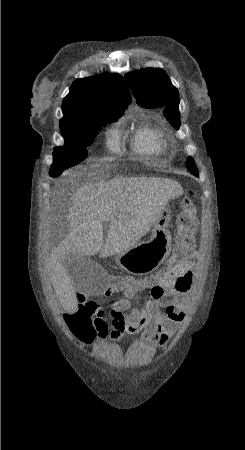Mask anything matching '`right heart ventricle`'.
Returning <instances> with one entry per match:
<instances>
[{"instance_id":"obj_1","label":"right heart ventricle","mask_w":245,"mask_h":450,"mask_svg":"<svg viewBox=\"0 0 245 450\" xmlns=\"http://www.w3.org/2000/svg\"><path fill=\"white\" fill-rule=\"evenodd\" d=\"M132 147L135 152L140 154L159 153L164 147L162 135L151 127H142L136 132Z\"/></svg>"}]
</instances>
